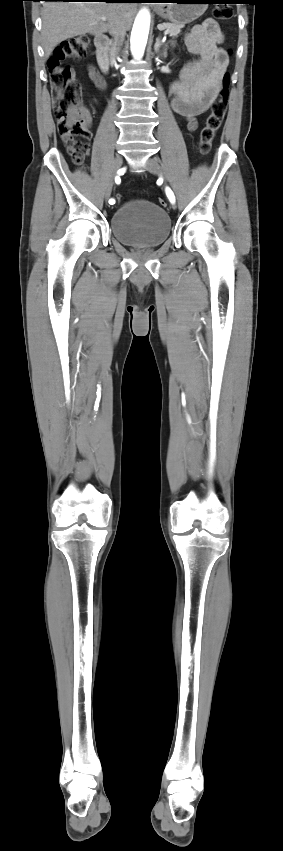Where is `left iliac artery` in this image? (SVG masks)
Listing matches in <instances>:
<instances>
[{
    "mask_svg": "<svg viewBox=\"0 0 283 851\" xmlns=\"http://www.w3.org/2000/svg\"><path fill=\"white\" fill-rule=\"evenodd\" d=\"M166 194H167V197L169 198L170 202L174 203L175 202V196H174V194H173V192L170 188H166Z\"/></svg>",
    "mask_w": 283,
    "mask_h": 851,
    "instance_id": "obj_1",
    "label": "left iliac artery"
}]
</instances>
